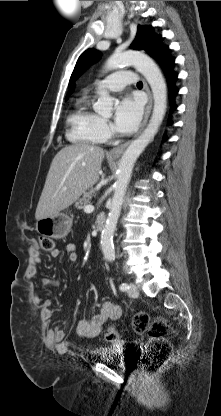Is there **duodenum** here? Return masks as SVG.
<instances>
[{"label": "duodenum", "mask_w": 221, "mask_h": 416, "mask_svg": "<svg viewBox=\"0 0 221 416\" xmlns=\"http://www.w3.org/2000/svg\"><path fill=\"white\" fill-rule=\"evenodd\" d=\"M105 224H106V218H105V216L99 215L96 218V229H97V231H102L104 229V227H105Z\"/></svg>", "instance_id": "duodenum-1"}]
</instances>
